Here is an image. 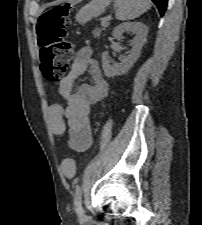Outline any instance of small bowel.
<instances>
[{
	"label": "small bowel",
	"mask_w": 202,
	"mask_h": 225,
	"mask_svg": "<svg viewBox=\"0 0 202 225\" xmlns=\"http://www.w3.org/2000/svg\"><path fill=\"white\" fill-rule=\"evenodd\" d=\"M86 73L90 75L92 84L76 83ZM108 91L109 84L93 59L92 49L89 46L81 47L76 52L68 74L58 86V92L66 105L54 104L49 108L52 134L63 137L67 133L68 143L73 150L87 151L93 144L90 106L103 100Z\"/></svg>",
	"instance_id": "small-bowel-1"
}]
</instances>
